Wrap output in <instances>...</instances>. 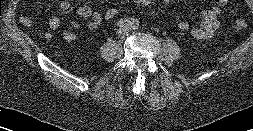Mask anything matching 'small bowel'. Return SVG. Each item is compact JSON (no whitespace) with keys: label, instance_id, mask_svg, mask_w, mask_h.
<instances>
[{"label":"small bowel","instance_id":"obj_1","mask_svg":"<svg viewBox=\"0 0 253 131\" xmlns=\"http://www.w3.org/2000/svg\"><path fill=\"white\" fill-rule=\"evenodd\" d=\"M165 3H169L170 0H163ZM229 0H216V4L211 8L204 10L200 15V24L197 27H191L188 21L179 20L176 22L175 26L181 31H189V33L197 39H209L213 37L220 27L219 15L222 8L227 5ZM46 9L51 10L53 6L51 4H46ZM59 8L63 11L69 10L71 8V3L68 0L61 1L59 3ZM77 14L85 19L86 25L90 30H95L99 28L104 22L103 13L92 10L87 5H81L77 8ZM20 22L26 27H30L32 24L31 19L23 14L20 16ZM71 26L73 29H78L80 24L78 21H72ZM48 27L51 30H56L60 27V19L58 17H51L48 21ZM46 39L52 37L49 31L45 32ZM62 37L67 42H72L76 39V34L73 30H64L62 32Z\"/></svg>","mask_w":253,"mask_h":131}]
</instances>
